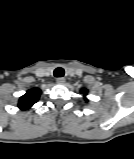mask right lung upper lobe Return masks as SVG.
I'll list each match as a JSON object with an SVG mask.
<instances>
[{"instance_id": "1", "label": "right lung upper lobe", "mask_w": 134, "mask_h": 159, "mask_svg": "<svg viewBox=\"0 0 134 159\" xmlns=\"http://www.w3.org/2000/svg\"><path fill=\"white\" fill-rule=\"evenodd\" d=\"M39 96L40 89L33 88L28 90L26 94L20 98L19 107L24 110L30 108L33 104H35L38 101Z\"/></svg>"}]
</instances>
